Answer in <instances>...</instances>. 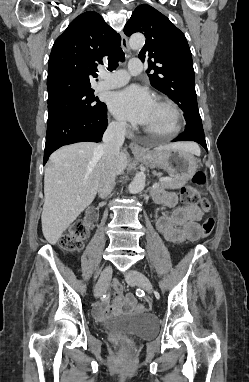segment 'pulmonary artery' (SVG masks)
Instances as JSON below:
<instances>
[{
    "label": "pulmonary artery",
    "mask_w": 249,
    "mask_h": 382,
    "mask_svg": "<svg viewBox=\"0 0 249 382\" xmlns=\"http://www.w3.org/2000/svg\"><path fill=\"white\" fill-rule=\"evenodd\" d=\"M143 70V63L138 58H133L128 63L127 70H118L114 73H108L102 71L100 76L101 80L97 84L98 89L100 90H109L119 88L130 79V75H136Z\"/></svg>",
    "instance_id": "obj_1"
}]
</instances>
